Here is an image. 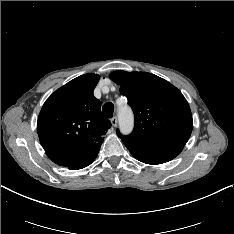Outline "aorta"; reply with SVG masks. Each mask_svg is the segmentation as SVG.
Listing matches in <instances>:
<instances>
[{
	"instance_id": "obj_1",
	"label": "aorta",
	"mask_w": 234,
	"mask_h": 234,
	"mask_svg": "<svg viewBox=\"0 0 234 234\" xmlns=\"http://www.w3.org/2000/svg\"><path fill=\"white\" fill-rule=\"evenodd\" d=\"M119 128L123 134H129L134 127V117L132 110L128 107L121 108L118 112Z\"/></svg>"
}]
</instances>
